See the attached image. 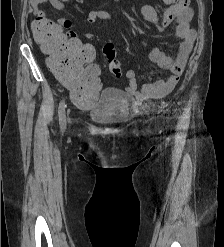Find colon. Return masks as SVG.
I'll return each mask as SVG.
<instances>
[{
    "label": "colon",
    "instance_id": "colon-1",
    "mask_svg": "<svg viewBox=\"0 0 224 247\" xmlns=\"http://www.w3.org/2000/svg\"><path fill=\"white\" fill-rule=\"evenodd\" d=\"M35 40L44 51L51 55V71L66 85L72 101L78 107H90L98 99L96 85L99 80V68L93 63L95 50L90 44L69 39L60 27L38 14L32 22ZM112 74L120 76L121 65L115 59L116 50L111 44L103 48Z\"/></svg>",
    "mask_w": 224,
    "mask_h": 247
}]
</instances>
